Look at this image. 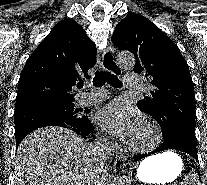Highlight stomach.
<instances>
[{
    "label": "stomach",
    "mask_w": 207,
    "mask_h": 185,
    "mask_svg": "<svg viewBox=\"0 0 207 185\" xmlns=\"http://www.w3.org/2000/svg\"><path fill=\"white\" fill-rule=\"evenodd\" d=\"M182 170V159L176 153L165 152L144 159L137 168L136 179L161 185L174 181Z\"/></svg>",
    "instance_id": "1"
}]
</instances>
